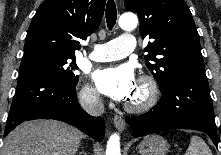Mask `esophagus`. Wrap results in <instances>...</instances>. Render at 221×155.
<instances>
[{"label": "esophagus", "instance_id": "34e87169", "mask_svg": "<svg viewBox=\"0 0 221 155\" xmlns=\"http://www.w3.org/2000/svg\"><path fill=\"white\" fill-rule=\"evenodd\" d=\"M113 122H114L115 127L118 130L124 131L126 123H125V120L121 116L115 115L113 118Z\"/></svg>", "mask_w": 221, "mask_h": 155}]
</instances>
